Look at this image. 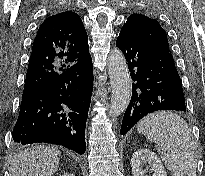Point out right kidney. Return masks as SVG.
<instances>
[{"label":"right kidney","instance_id":"obj_1","mask_svg":"<svg viewBox=\"0 0 205 176\" xmlns=\"http://www.w3.org/2000/svg\"><path fill=\"white\" fill-rule=\"evenodd\" d=\"M60 176H75L73 173H65L63 175H60Z\"/></svg>","mask_w":205,"mask_h":176}]
</instances>
